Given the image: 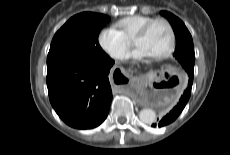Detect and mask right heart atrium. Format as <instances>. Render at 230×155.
Here are the masks:
<instances>
[{
    "label": "right heart atrium",
    "mask_w": 230,
    "mask_h": 155,
    "mask_svg": "<svg viewBox=\"0 0 230 155\" xmlns=\"http://www.w3.org/2000/svg\"><path fill=\"white\" fill-rule=\"evenodd\" d=\"M99 47L112 59H121L131 42L115 27H105L97 37Z\"/></svg>",
    "instance_id": "d8ad5b80"
}]
</instances>
